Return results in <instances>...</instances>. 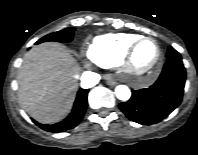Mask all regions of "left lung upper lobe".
<instances>
[{
    "mask_svg": "<svg viewBox=\"0 0 198 155\" xmlns=\"http://www.w3.org/2000/svg\"><path fill=\"white\" fill-rule=\"evenodd\" d=\"M166 56L168 60H181L180 54L171 46L169 47Z\"/></svg>",
    "mask_w": 198,
    "mask_h": 155,
    "instance_id": "left-lung-upper-lobe-1",
    "label": "left lung upper lobe"
}]
</instances>
